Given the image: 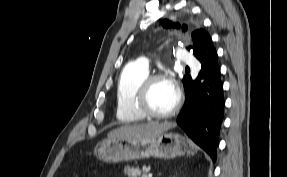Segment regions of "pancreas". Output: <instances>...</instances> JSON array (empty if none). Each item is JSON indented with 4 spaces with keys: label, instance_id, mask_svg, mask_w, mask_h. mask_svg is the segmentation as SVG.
Instances as JSON below:
<instances>
[{
    "label": "pancreas",
    "instance_id": "pancreas-1",
    "mask_svg": "<svg viewBox=\"0 0 287 177\" xmlns=\"http://www.w3.org/2000/svg\"><path fill=\"white\" fill-rule=\"evenodd\" d=\"M150 171V167H143L141 170L134 167H125L124 173L128 177H147V173Z\"/></svg>",
    "mask_w": 287,
    "mask_h": 177
}]
</instances>
